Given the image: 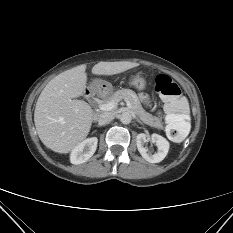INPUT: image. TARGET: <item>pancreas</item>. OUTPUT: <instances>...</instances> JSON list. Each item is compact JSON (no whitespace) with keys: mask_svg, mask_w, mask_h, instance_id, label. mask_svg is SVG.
Masks as SVG:
<instances>
[{"mask_svg":"<svg viewBox=\"0 0 233 233\" xmlns=\"http://www.w3.org/2000/svg\"><path fill=\"white\" fill-rule=\"evenodd\" d=\"M121 99L129 100V102L131 103V110L139 117V119L143 123L151 127H155L157 129H163V125L160 119L158 117H154L151 114L145 112L136 93L130 89L118 90L114 92L113 94H111L110 96L105 97L101 101V103H107L112 100H116L117 102H119Z\"/></svg>","mask_w":233,"mask_h":233,"instance_id":"cf45deb5","label":"pancreas"}]
</instances>
